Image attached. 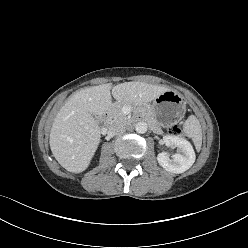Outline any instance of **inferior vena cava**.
<instances>
[{"label": "inferior vena cava", "instance_id": "1", "mask_svg": "<svg viewBox=\"0 0 248 248\" xmlns=\"http://www.w3.org/2000/svg\"><path fill=\"white\" fill-rule=\"evenodd\" d=\"M126 131L125 126L120 122H113L109 127V132L113 135H121Z\"/></svg>", "mask_w": 248, "mask_h": 248}]
</instances>
